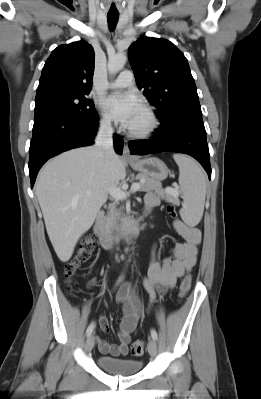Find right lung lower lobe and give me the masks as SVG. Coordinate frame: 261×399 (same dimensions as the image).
<instances>
[{
  "label": "right lung lower lobe",
  "instance_id": "right-lung-lower-lobe-1",
  "mask_svg": "<svg viewBox=\"0 0 261 399\" xmlns=\"http://www.w3.org/2000/svg\"><path fill=\"white\" fill-rule=\"evenodd\" d=\"M98 115L83 121L62 113H51L34 118L33 137L29 148V175L33 187L38 171L53 156L64 151L94 143ZM114 148L123 151V139L114 135Z\"/></svg>",
  "mask_w": 261,
  "mask_h": 399
}]
</instances>
